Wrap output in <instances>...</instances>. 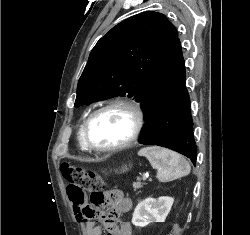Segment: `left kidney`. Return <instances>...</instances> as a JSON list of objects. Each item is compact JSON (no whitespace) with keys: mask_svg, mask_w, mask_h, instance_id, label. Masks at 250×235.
<instances>
[{"mask_svg":"<svg viewBox=\"0 0 250 235\" xmlns=\"http://www.w3.org/2000/svg\"><path fill=\"white\" fill-rule=\"evenodd\" d=\"M174 199L161 196L158 199L147 198L135 208L132 223L138 227H145L153 222H164L173 205Z\"/></svg>","mask_w":250,"mask_h":235,"instance_id":"1","label":"left kidney"}]
</instances>
